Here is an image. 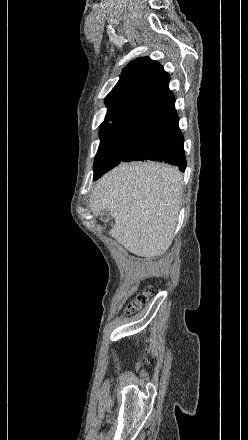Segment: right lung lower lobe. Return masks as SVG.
<instances>
[{"label":"right lung lower lobe","mask_w":248,"mask_h":440,"mask_svg":"<svg viewBox=\"0 0 248 440\" xmlns=\"http://www.w3.org/2000/svg\"><path fill=\"white\" fill-rule=\"evenodd\" d=\"M143 160L169 163L185 171L184 138L175 104L152 115L129 134L121 161Z\"/></svg>","instance_id":"1"}]
</instances>
